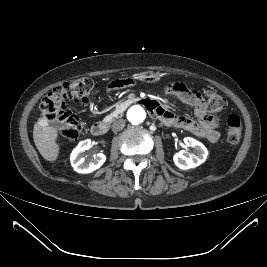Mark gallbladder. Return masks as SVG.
<instances>
[{
    "label": "gallbladder",
    "mask_w": 267,
    "mask_h": 267,
    "mask_svg": "<svg viewBox=\"0 0 267 267\" xmlns=\"http://www.w3.org/2000/svg\"><path fill=\"white\" fill-rule=\"evenodd\" d=\"M53 124H54L56 127H59L60 125H62V122L55 121Z\"/></svg>",
    "instance_id": "bac80fb5"
}]
</instances>
